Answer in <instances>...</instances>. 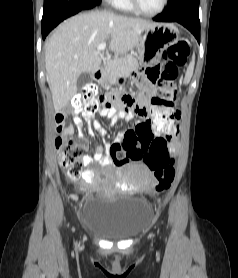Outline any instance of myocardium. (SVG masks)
<instances>
[{
  "label": "myocardium",
  "mask_w": 238,
  "mask_h": 278,
  "mask_svg": "<svg viewBox=\"0 0 238 278\" xmlns=\"http://www.w3.org/2000/svg\"><path fill=\"white\" fill-rule=\"evenodd\" d=\"M130 5L132 7V9L134 11H136L137 13L146 16V17H156L158 15H160L161 13H163L168 5V0H162V4L160 6V8L157 11L154 12H148L145 11L138 3V0H129Z\"/></svg>",
  "instance_id": "1"
}]
</instances>
